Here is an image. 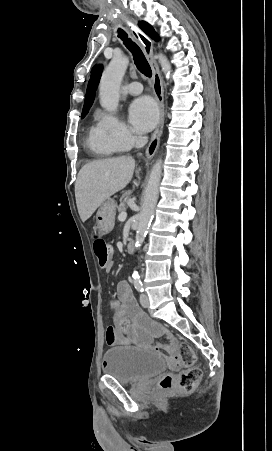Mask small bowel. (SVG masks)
Segmentation results:
<instances>
[{
	"mask_svg": "<svg viewBox=\"0 0 272 451\" xmlns=\"http://www.w3.org/2000/svg\"><path fill=\"white\" fill-rule=\"evenodd\" d=\"M113 265V261H110L105 267L106 270H111ZM115 294L117 302L113 306L116 310V316H122L129 322L128 328L123 332L113 331L119 334L121 344L133 343L139 348L158 352L161 349L166 350V344H154L152 340L153 335H165L168 340L171 338L177 341L169 330L149 319L141 312L126 281H120L117 284Z\"/></svg>",
	"mask_w": 272,
	"mask_h": 451,
	"instance_id": "c3829d8e",
	"label": "small bowel"
}]
</instances>
